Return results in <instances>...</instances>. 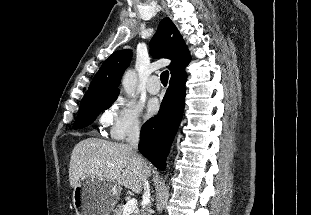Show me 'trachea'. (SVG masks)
<instances>
[{
    "mask_svg": "<svg viewBox=\"0 0 311 215\" xmlns=\"http://www.w3.org/2000/svg\"><path fill=\"white\" fill-rule=\"evenodd\" d=\"M168 78H169V72L168 71H164V72L161 73L160 80H161V83L163 85H167Z\"/></svg>",
    "mask_w": 311,
    "mask_h": 215,
    "instance_id": "obj_1",
    "label": "trachea"
}]
</instances>
